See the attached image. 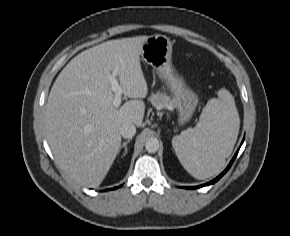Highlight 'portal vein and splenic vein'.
Listing matches in <instances>:
<instances>
[{
  "label": "portal vein and splenic vein",
  "instance_id": "1",
  "mask_svg": "<svg viewBox=\"0 0 290 236\" xmlns=\"http://www.w3.org/2000/svg\"><path fill=\"white\" fill-rule=\"evenodd\" d=\"M117 71H113L112 74L109 76V82L111 85V90L115 93L113 105L115 107H119L121 104V98H122V88L119 85L117 79Z\"/></svg>",
  "mask_w": 290,
  "mask_h": 236
}]
</instances>
